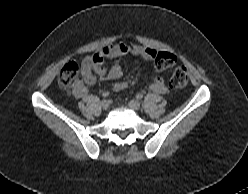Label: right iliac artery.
<instances>
[{"label": "right iliac artery", "instance_id": "obj_1", "mask_svg": "<svg viewBox=\"0 0 248 194\" xmlns=\"http://www.w3.org/2000/svg\"><path fill=\"white\" fill-rule=\"evenodd\" d=\"M108 96H109V93H108V92H104V93H103V97H104V98H106V97H108Z\"/></svg>", "mask_w": 248, "mask_h": 194}]
</instances>
